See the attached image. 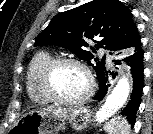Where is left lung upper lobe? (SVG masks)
Masks as SVG:
<instances>
[{
	"instance_id": "5c2ea615",
	"label": "left lung upper lobe",
	"mask_w": 153,
	"mask_h": 134,
	"mask_svg": "<svg viewBox=\"0 0 153 134\" xmlns=\"http://www.w3.org/2000/svg\"><path fill=\"white\" fill-rule=\"evenodd\" d=\"M132 18L130 9L119 0H93L57 14L37 36L35 46L56 45L69 49L93 66L90 61L93 54L84 49L89 46L88 39H98L95 48L91 47L93 52L101 47L112 51L134 49L140 43ZM104 61L105 56L93 66L98 79L106 69Z\"/></svg>"
}]
</instances>
